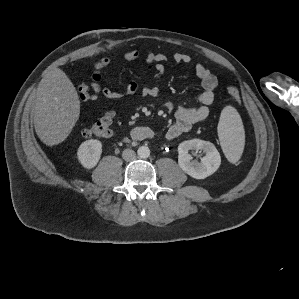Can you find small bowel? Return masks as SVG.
<instances>
[{
    "label": "small bowel",
    "instance_id": "small-bowel-1",
    "mask_svg": "<svg viewBox=\"0 0 299 299\" xmlns=\"http://www.w3.org/2000/svg\"><path fill=\"white\" fill-rule=\"evenodd\" d=\"M138 50H131L123 54L122 58L126 61H132L139 57ZM169 58L163 53L149 52L145 56V62L149 69L153 70L154 79H159L165 72V63ZM174 63L188 64L191 62V57L185 53H174L171 57ZM112 61L104 57L100 59L95 65V71L93 74V81L90 84L91 90L96 94H101L108 99H119L127 95H132L136 92L144 97L156 98L160 89L157 85L139 88L137 82L134 80L129 81L123 90L117 91L109 87H102V70L109 67ZM195 72L201 81L202 92L197 97V106L186 107L183 104H178L175 108V121L169 126L165 133V137L168 140L175 139L180 135L187 133L191 130L194 124L203 121L208 118L210 114V105L215 101V90L218 85L217 77L203 64H197L195 66ZM132 130V134L137 130Z\"/></svg>",
    "mask_w": 299,
    "mask_h": 299
}]
</instances>
